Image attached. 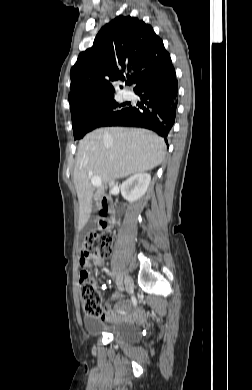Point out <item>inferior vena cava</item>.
<instances>
[{
  "instance_id": "1",
  "label": "inferior vena cava",
  "mask_w": 252,
  "mask_h": 390,
  "mask_svg": "<svg viewBox=\"0 0 252 390\" xmlns=\"http://www.w3.org/2000/svg\"><path fill=\"white\" fill-rule=\"evenodd\" d=\"M109 186H110V187H114V186H115V182H114V180H110V182H109Z\"/></svg>"
}]
</instances>
